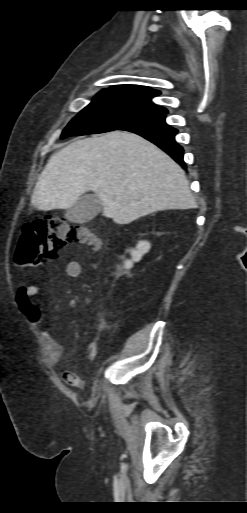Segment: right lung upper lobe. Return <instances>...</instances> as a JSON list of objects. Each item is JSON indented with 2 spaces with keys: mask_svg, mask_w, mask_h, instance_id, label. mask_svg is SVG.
Instances as JSON below:
<instances>
[{
  "mask_svg": "<svg viewBox=\"0 0 247 513\" xmlns=\"http://www.w3.org/2000/svg\"><path fill=\"white\" fill-rule=\"evenodd\" d=\"M107 90L123 91L144 100L145 102L155 105L152 102V98L160 94L159 91L154 90L150 87L139 86V85H117L108 88Z\"/></svg>",
  "mask_w": 247,
  "mask_h": 513,
  "instance_id": "1",
  "label": "right lung upper lobe"
}]
</instances>
